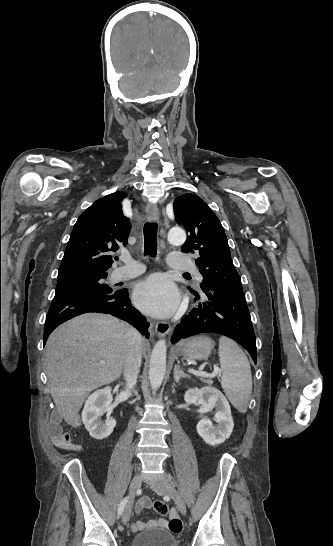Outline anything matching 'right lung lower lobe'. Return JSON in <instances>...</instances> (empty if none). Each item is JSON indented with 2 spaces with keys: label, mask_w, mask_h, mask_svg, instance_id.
<instances>
[{
  "label": "right lung lower lobe",
  "mask_w": 333,
  "mask_h": 546,
  "mask_svg": "<svg viewBox=\"0 0 333 546\" xmlns=\"http://www.w3.org/2000/svg\"><path fill=\"white\" fill-rule=\"evenodd\" d=\"M86 312L113 315L136 327L146 338L149 337V323L131 305L128 290L121 289L112 294L83 292L55 296L45 321L44 344L57 326Z\"/></svg>",
  "instance_id": "98d812e1"
}]
</instances>
